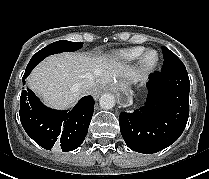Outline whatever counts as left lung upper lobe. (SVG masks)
<instances>
[{"label":"left lung upper lobe","instance_id":"obj_1","mask_svg":"<svg viewBox=\"0 0 209 179\" xmlns=\"http://www.w3.org/2000/svg\"><path fill=\"white\" fill-rule=\"evenodd\" d=\"M162 51L164 56V64L162 66V71L168 72L172 70L185 68L181 60L168 48L162 46Z\"/></svg>","mask_w":209,"mask_h":179}]
</instances>
